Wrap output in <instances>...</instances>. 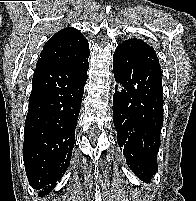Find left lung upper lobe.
Segmentation results:
<instances>
[{"label": "left lung upper lobe", "instance_id": "1", "mask_svg": "<svg viewBox=\"0 0 196 201\" xmlns=\"http://www.w3.org/2000/svg\"><path fill=\"white\" fill-rule=\"evenodd\" d=\"M123 43L129 45L132 49L136 50L139 54L145 57H148L150 59H153L154 61L159 63L154 49L148 44H146L145 42H143L142 40L131 38L129 40L124 41Z\"/></svg>", "mask_w": 196, "mask_h": 201}]
</instances>
